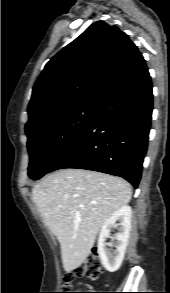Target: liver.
I'll return each instance as SVG.
<instances>
[{
  "mask_svg": "<svg viewBox=\"0 0 170 293\" xmlns=\"http://www.w3.org/2000/svg\"><path fill=\"white\" fill-rule=\"evenodd\" d=\"M131 195L122 178L72 168L49 174L34 186L32 199L60 243L66 272L83 264L105 220L127 205Z\"/></svg>",
  "mask_w": 170,
  "mask_h": 293,
  "instance_id": "obj_1",
  "label": "liver"
}]
</instances>
